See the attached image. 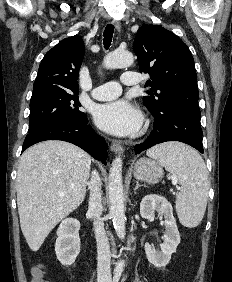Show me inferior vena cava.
Here are the masks:
<instances>
[{
    "instance_id": "inferior-vena-cava-1",
    "label": "inferior vena cava",
    "mask_w": 232,
    "mask_h": 282,
    "mask_svg": "<svg viewBox=\"0 0 232 282\" xmlns=\"http://www.w3.org/2000/svg\"><path fill=\"white\" fill-rule=\"evenodd\" d=\"M101 179L96 171L91 174L88 182L90 189V198L88 212L93 217V226L97 242V277L99 282H111V253L108 238L101 221L102 204H101Z\"/></svg>"
}]
</instances>
